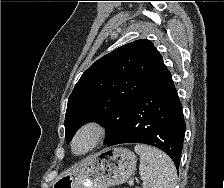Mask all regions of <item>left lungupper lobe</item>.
I'll return each mask as SVG.
<instances>
[{
    "instance_id": "1",
    "label": "left lung upper lobe",
    "mask_w": 224,
    "mask_h": 188,
    "mask_svg": "<svg viewBox=\"0 0 224 188\" xmlns=\"http://www.w3.org/2000/svg\"><path fill=\"white\" fill-rule=\"evenodd\" d=\"M169 73L149 40H136L93 63L75 85L65 115V138L71 141L85 123L106 127V140L119 130L136 99Z\"/></svg>"
}]
</instances>
